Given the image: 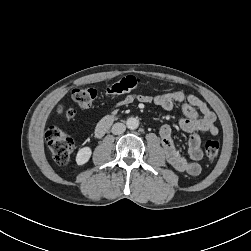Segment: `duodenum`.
<instances>
[{
    "label": "duodenum",
    "instance_id": "410a0bca",
    "mask_svg": "<svg viewBox=\"0 0 251 251\" xmlns=\"http://www.w3.org/2000/svg\"><path fill=\"white\" fill-rule=\"evenodd\" d=\"M114 121H115V116L112 115H108L102 118L96 126L95 135L97 137L103 136Z\"/></svg>",
    "mask_w": 251,
    "mask_h": 251
}]
</instances>
